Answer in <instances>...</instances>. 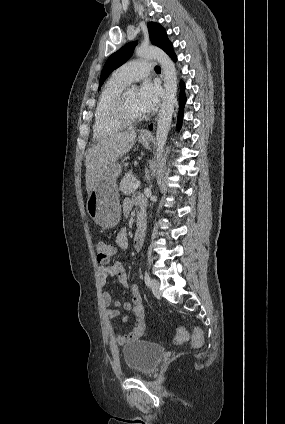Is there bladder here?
Instances as JSON below:
<instances>
[{
    "mask_svg": "<svg viewBox=\"0 0 285 424\" xmlns=\"http://www.w3.org/2000/svg\"><path fill=\"white\" fill-rule=\"evenodd\" d=\"M120 352L127 370L134 374L153 372L164 354L161 346L146 340L130 341Z\"/></svg>",
    "mask_w": 285,
    "mask_h": 424,
    "instance_id": "1",
    "label": "bladder"
}]
</instances>
